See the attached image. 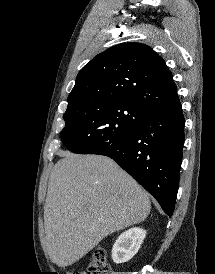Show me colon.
Returning <instances> with one entry per match:
<instances>
[{"mask_svg": "<svg viewBox=\"0 0 215 274\" xmlns=\"http://www.w3.org/2000/svg\"><path fill=\"white\" fill-rule=\"evenodd\" d=\"M70 274H109V265L105 248L99 246L93 250L86 271L72 272Z\"/></svg>", "mask_w": 215, "mask_h": 274, "instance_id": "colon-1", "label": "colon"}]
</instances>
